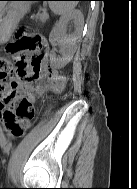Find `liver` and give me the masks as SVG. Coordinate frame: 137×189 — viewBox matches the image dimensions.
<instances>
[{
    "label": "liver",
    "instance_id": "1",
    "mask_svg": "<svg viewBox=\"0 0 137 189\" xmlns=\"http://www.w3.org/2000/svg\"><path fill=\"white\" fill-rule=\"evenodd\" d=\"M5 5H6V2H4V1L0 2V11H2V9L5 7Z\"/></svg>",
    "mask_w": 137,
    "mask_h": 189
}]
</instances>
